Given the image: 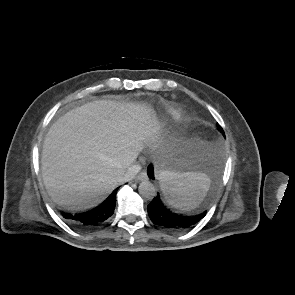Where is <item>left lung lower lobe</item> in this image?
Wrapping results in <instances>:
<instances>
[{"instance_id": "1", "label": "left lung lower lobe", "mask_w": 295, "mask_h": 295, "mask_svg": "<svg viewBox=\"0 0 295 295\" xmlns=\"http://www.w3.org/2000/svg\"><path fill=\"white\" fill-rule=\"evenodd\" d=\"M207 166L213 167V154L207 151L205 154ZM148 175L153 177V167L148 168ZM150 219L154 224L170 231H184L193 227L200 219L206 215V211L196 216H182L169 211L160 197H155L147 207Z\"/></svg>"}]
</instances>
